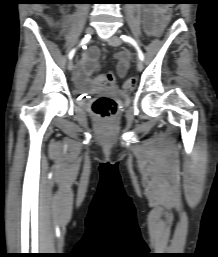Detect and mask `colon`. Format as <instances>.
I'll return each mask as SVG.
<instances>
[{"instance_id":"5ec220e1","label":"colon","mask_w":218,"mask_h":257,"mask_svg":"<svg viewBox=\"0 0 218 257\" xmlns=\"http://www.w3.org/2000/svg\"><path fill=\"white\" fill-rule=\"evenodd\" d=\"M171 2H163L160 11V21H157L154 35L159 38V35H164V31H167V26H170V22L173 21L172 16L174 15V9L170 8ZM113 70H103V74H91L87 80L88 84H94V90H111V85L118 84L116 75L113 74ZM136 80L134 78L128 79L124 84V89L130 91L135 87ZM118 105L115 99L107 96H101L96 98L92 104L93 112L102 119H108L117 113Z\"/></svg>"}]
</instances>
